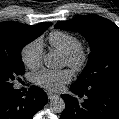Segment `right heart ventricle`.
Returning <instances> with one entry per match:
<instances>
[{"mask_svg":"<svg viewBox=\"0 0 119 119\" xmlns=\"http://www.w3.org/2000/svg\"><path fill=\"white\" fill-rule=\"evenodd\" d=\"M48 41L53 48L62 54L70 52L80 44L79 39L75 35L61 30L51 32L48 36Z\"/></svg>","mask_w":119,"mask_h":119,"instance_id":"1","label":"right heart ventricle"}]
</instances>
